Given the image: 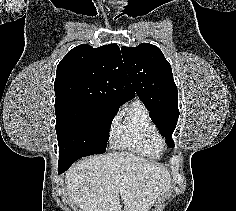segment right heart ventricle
Segmentation results:
<instances>
[{"mask_svg":"<svg viewBox=\"0 0 236 211\" xmlns=\"http://www.w3.org/2000/svg\"><path fill=\"white\" fill-rule=\"evenodd\" d=\"M111 142L113 147L148 158H160L162 141L146 106L133 99L119 115Z\"/></svg>","mask_w":236,"mask_h":211,"instance_id":"1","label":"right heart ventricle"}]
</instances>
